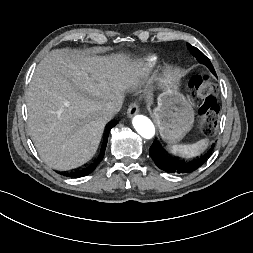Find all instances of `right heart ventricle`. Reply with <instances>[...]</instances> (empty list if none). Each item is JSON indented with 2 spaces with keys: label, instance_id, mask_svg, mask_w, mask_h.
Here are the masks:
<instances>
[{
  "label": "right heart ventricle",
  "instance_id": "obj_1",
  "mask_svg": "<svg viewBox=\"0 0 253 253\" xmlns=\"http://www.w3.org/2000/svg\"><path fill=\"white\" fill-rule=\"evenodd\" d=\"M155 63H156L155 56H149L144 60L140 61L134 69V78H137L140 75L142 76L148 74L154 67Z\"/></svg>",
  "mask_w": 253,
  "mask_h": 253
}]
</instances>
